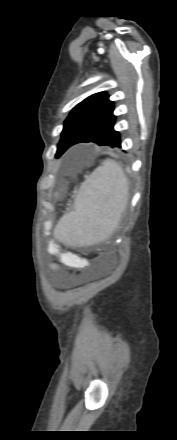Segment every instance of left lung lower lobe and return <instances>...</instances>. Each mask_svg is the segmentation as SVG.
<instances>
[{"instance_id":"1","label":"left lung lower lobe","mask_w":177,"mask_h":440,"mask_svg":"<svg viewBox=\"0 0 177 440\" xmlns=\"http://www.w3.org/2000/svg\"><path fill=\"white\" fill-rule=\"evenodd\" d=\"M115 118L102 125L80 140L78 143L94 142L100 146L121 147L120 134L114 130Z\"/></svg>"}]
</instances>
